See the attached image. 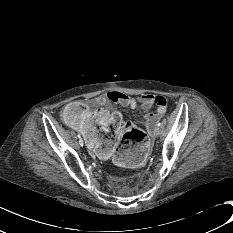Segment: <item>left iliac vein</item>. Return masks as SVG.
I'll return each mask as SVG.
<instances>
[{
	"instance_id": "left-iliac-vein-1",
	"label": "left iliac vein",
	"mask_w": 233,
	"mask_h": 233,
	"mask_svg": "<svg viewBox=\"0 0 233 233\" xmlns=\"http://www.w3.org/2000/svg\"><path fill=\"white\" fill-rule=\"evenodd\" d=\"M153 133H154V136H155V137L159 136V134H160V128H159V126L155 127Z\"/></svg>"
}]
</instances>
